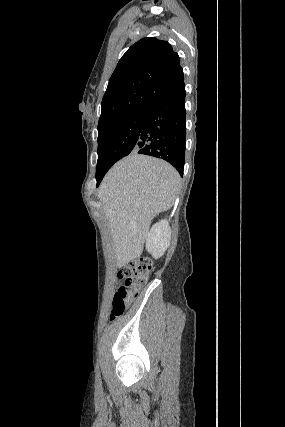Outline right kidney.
<instances>
[{
    "label": "right kidney",
    "instance_id": "right-kidney-1",
    "mask_svg": "<svg viewBox=\"0 0 285 427\" xmlns=\"http://www.w3.org/2000/svg\"><path fill=\"white\" fill-rule=\"evenodd\" d=\"M171 228L167 220L154 224L147 235L146 249L154 258L161 257L170 245Z\"/></svg>",
    "mask_w": 285,
    "mask_h": 427
}]
</instances>
